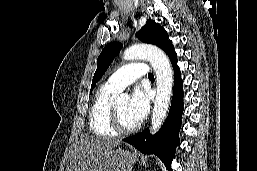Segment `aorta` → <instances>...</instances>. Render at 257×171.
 I'll return each instance as SVG.
<instances>
[{
	"mask_svg": "<svg viewBox=\"0 0 257 171\" xmlns=\"http://www.w3.org/2000/svg\"><path fill=\"white\" fill-rule=\"evenodd\" d=\"M123 59H146L155 71L157 93L151 119V133H155L166 117L171 100L173 73L170 61L162 50L147 44L132 45L125 50ZM128 101L129 96L126 94H122L116 98L117 103Z\"/></svg>",
	"mask_w": 257,
	"mask_h": 171,
	"instance_id": "aorta-1",
	"label": "aorta"
}]
</instances>
